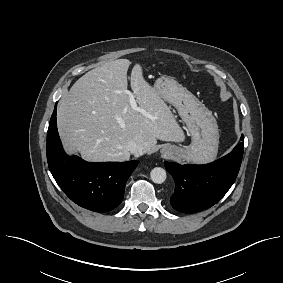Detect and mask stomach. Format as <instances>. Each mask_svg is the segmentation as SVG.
<instances>
[{
	"label": "stomach",
	"instance_id": "0dacf381",
	"mask_svg": "<svg viewBox=\"0 0 283 283\" xmlns=\"http://www.w3.org/2000/svg\"><path fill=\"white\" fill-rule=\"evenodd\" d=\"M154 88L162 99L177 109L191 136L189 146L167 145L162 151L171 148L173 156L181 161L199 164L213 161L218 153L219 130L211 111L171 77L158 78Z\"/></svg>",
	"mask_w": 283,
	"mask_h": 283
}]
</instances>
